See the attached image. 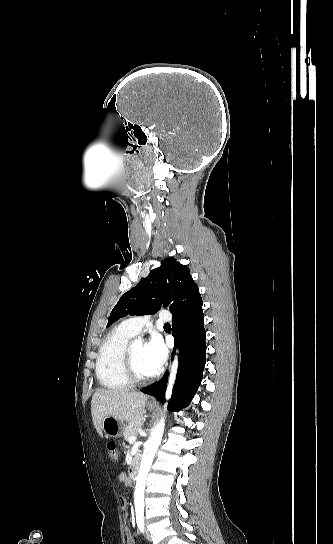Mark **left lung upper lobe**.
I'll list each match as a JSON object with an SVG mask.
<instances>
[{"instance_id":"obj_1","label":"left lung upper lobe","mask_w":333,"mask_h":544,"mask_svg":"<svg viewBox=\"0 0 333 544\" xmlns=\"http://www.w3.org/2000/svg\"><path fill=\"white\" fill-rule=\"evenodd\" d=\"M202 299L189 269L175 258H166L159 268L124 293L113 308L107 326L127 315L155 314L169 305L170 312L181 310Z\"/></svg>"}]
</instances>
